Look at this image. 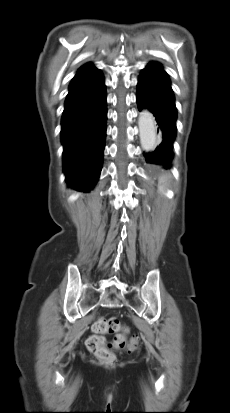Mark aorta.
Returning a JSON list of instances; mask_svg holds the SVG:
<instances>
[{
	"mask_svg": "<svg viewBox=\"0 0 230 413\" xmlns=\"http://www.w3.org/2000/svg\"><path fill=\"white\" fill-rule=\"evenodd\" d=\"M138 126L141 147L146 151L152 150L155 147L157 141L156 127L153 115L147 110L140 112Z\"/></svg>",
	"mask_w": 230,
	"mask_h": 413,
	"instance_id": "aorta-1",
	"label": "aorta"
}]
</instances>
